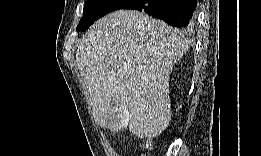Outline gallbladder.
Returning <instances> with one entry per match:
<instances>
[{
  "label": "gallbladder",
  "mask_w": 261,
  "mask_h": 156,
  "mask_svg": "<svg viewBox=\"0 0 261 156\" xmlns=\"http://www.w3.org/2000/svg\"><path fill=\"white\" fill-rule=\"evenodd\" d=\"M112 109L107 113V127H113V129L120 130L118 128H127L128 120L130 118V110H126L130 107H127V104L124 103H114L107 105Z\"/></svg>",
  "instance_id": "gallbladder-1"
}]
</instances>
